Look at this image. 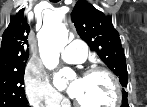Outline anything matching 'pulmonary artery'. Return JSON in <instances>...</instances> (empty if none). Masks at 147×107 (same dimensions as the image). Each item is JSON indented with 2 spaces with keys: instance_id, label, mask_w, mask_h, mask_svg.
<instances>
[{
  "instance_id": "obj_1",
  "label": "pulmonary artery",
  "mask_w": 147,
  "mask_h": 107,
  "mask_svg": "<svg viewBox=\"0 0 147 107\" xmlns=\"http://www.w3.org/2000/svg\"><path fill=\"white\" fill-rule=\"evenodd\" d=\"M88 48L87 45L80 41L74 40L62 52V60L70 63H82L86 60Z\"/></svg>"
}]
</instances>
